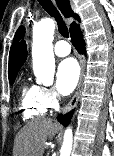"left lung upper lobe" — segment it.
Masks as SVG:
<instances>
[{"instance_id": "1", "label": "left lung upper lobe", "mask_w": 114, "mask_h": 156, "mask_svg": "<svg viewBox=\"0 0 114 156\" xmlns=\"http://www.w3.org/2000/svg\"><path fill=\"white\" fill-rule=\"evenodd\" d=\"M24 33H25V28L23 26H20L14 36L11 49L17 44L18 40L24 35Z\"/></svg>"}]
</instances>
